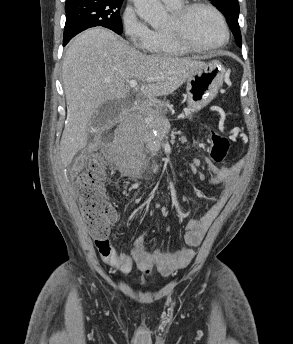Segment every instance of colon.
<instances>
[{
  "instance_id": "5ec220e1",
  "label": "colon",
  "mask_w": 293,
  "mask_h": 344,
  "mask_svg": "<svg viewBox=\"0 0 293 344\" xmlns=\"http://www.w3.org/2000/svg\"><path fill=\"white\" fill-rule=\"evenodd\" d=\"M210 158L215 163H221L229 150L228 139L217 131L210 132ZM104 138H112L111 132H106ZM107 171L104 162L98 156L88 159L84 171L76 183V193L80 202L83 216L86 219L89 233L96 239L104 238L112 224L117 221L116 210L109 202L104 191V180ZM150 270L146 269L145 274Z\"/></svg>"
}]
</instances>
